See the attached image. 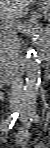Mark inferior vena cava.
Returning <instances> with one entry per match:
<instances>
[{"instance_id": "1", "label": "inferior vena cava", "mask_w": 50, "mask_h": 148, "mask_svg": "<svg viewBox=\"0 0 50 148\" xmlns=\"http://www.w3.org/2000/svg\"><path fill=\"white\" fill-rule=\"evenodd\" d=\"M16 31V26L14 27L13 32L11 33V37L14 36V32ZM23 73H17L12 82L11 90H10V99L12 101H19L22 98V88H23Z\"/></svg>"}]
</instances>
